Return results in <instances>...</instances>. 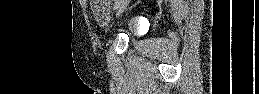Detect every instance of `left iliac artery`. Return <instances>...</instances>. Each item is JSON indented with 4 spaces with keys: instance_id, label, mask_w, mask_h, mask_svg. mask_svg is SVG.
<instances>
[{
    "instance_id": "1",
    "label": "left iliac artery",
    "mask_w": 259,
    "mask_h": 94,
    "mask_svg": "<svg viewBox=\"0 0 259 94\" xmlns=\"http://www.w3.org/2000/svg\"><path fill=\"white\" fill-rule=\"evenodd\" d=\"M122 4V0H117L114 4L113 9H118L120 7V5Z\"/></svg>"
}]
</instances>
